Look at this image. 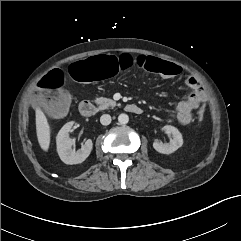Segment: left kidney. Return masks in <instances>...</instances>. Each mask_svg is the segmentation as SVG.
<instances>
[{"instance_id":"1","label":"left kidney","mask_w":241,"mask_h":241,"mask_svg":"<svg viewBox=\"0 0 241 241\" xmlns=\"http://www.w3.org/2000/svg\"><path fill=\"white\" fill-rule=\"evenodd\" d=\"M163 130L167 133L172 134L173 139L169 143H162L155 140L153 143V148L162 154H171L183 145V138L180 131L171 125H166Z\"/></svg>"}]
</instances>
